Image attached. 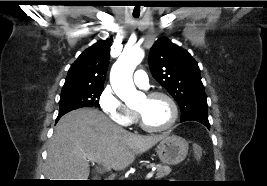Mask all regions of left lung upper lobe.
<instances>
[{"instance_id": "5c2ea615", "label": "left lung upper lobe", "mask_w": 267, "mask_h": 186, "mask_svg": "<svg viewBox=\"0 0 267 186\" xmlns=\"http://www.w3.org/2000/svg\"><path fill=\"white\" fill-rule=\"evenodd\" d=\"M149 65L153 77L177 101L181 121H208L207 97L197 62L189 52L166 38L151 48Z\"/></svg>"}]
</instances>
